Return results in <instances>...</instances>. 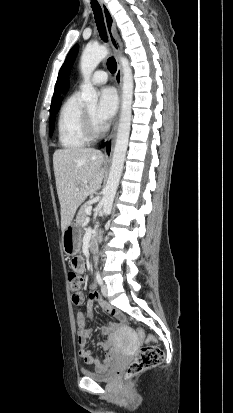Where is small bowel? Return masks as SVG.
Returning <instances> with one entry per match:
<instances>
[{
    "instance_id": "obj_1",
    "label": "small bowel",
    "mask_w": 233,
    "mask_h": 413,
    "mask_svg": "<svg viewBox=\"0 0 233 413\" xmlns=\"http://www.w3.org/2000/svg\"><path fill=\"white\" fill-rule=\"evenodd\" d=\"M71 263L70 270L72 273H75L77 276H82L85 270V264L82 261V257L80 255H71L69 258ZM72 302L73 304L79 306L84 303V295L81 292L72 295ZM96 306H99L101 309L106 311L107 313L115 316L119 323H111L106 327L101 329V332L104 335H107L108 338L98 343V347L107 351V354L103 361H100L98 358L94 357L90 350L86 348L87 340L92 335V330L87 328V319L84 313L80 310L76 312V323L78 326L77 329V339L78 344L80 346L79 354L85 361L87 365H91L98 370L105 369L108 365L114 360L117 351L114 348L115 343V333L119 329L120 325L123 322V315L120 311L112 307L108 302L103 300L100 295L95 291L94 286H91L89 300L87 302L86 308L89 315V319H92L93 311Z\"/></svg>"
}]
</instances>
